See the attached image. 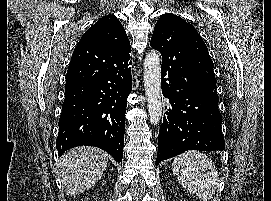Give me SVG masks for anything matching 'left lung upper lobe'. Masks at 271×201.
<instances>
[{
    "mask_svg": "<svg viewBox=\"0 0 271 201\" xmlns=\"http://www.w3.org/2000/svg\"><path fill=\"white\" fill-rule=\"evenodd\" d=\"M180 36L187 48L191 65L195 69L199 82L218 99L213 62L207 46L197 30L185 20L174 14H163L157 21L150 45L159 50L170 40Z\"/></svg>",
    "mask_w": 271,
    "mask_h": 201,
    "instance_id": "left-lung-upper-lobe-1",
    "label": "left lung upper lobe"
}]
</instances>
